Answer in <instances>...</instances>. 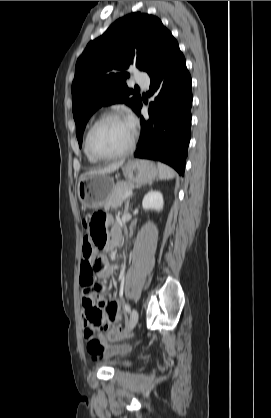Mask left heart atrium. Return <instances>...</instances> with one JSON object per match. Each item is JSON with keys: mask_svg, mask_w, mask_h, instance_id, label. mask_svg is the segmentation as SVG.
Instances as JSON below:
<instances>
[{"mask_svg": "<svg viewBox=\"0 0 271 418\" xmlns=\"http://www.w3.org/2000/svg\"><path fill=\"white\" fill-rule=\"evenodd\" d=\"M126 120H127V123L129 124L130 128L133 130L135 128V125H136L135 118L132 115H129Z\"/></svg>", "mask_w": 271, "mask_h": 418, "instance_id": "1", "label": "left heart atrium"}]
</instances>
